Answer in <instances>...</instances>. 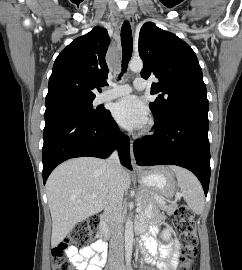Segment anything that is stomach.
Here are the masks:
<instances>
[{"label":"stomach","instance_id":"stomach-1","mask_svg":"<svg viewBox=\"0 0 242 270\" xmlns=\"http://www.w3.org/2000/svg\"><path fill=\"white\" fill-rule=\"evenodd\" d=\"M141 189L170 195L175 190L173 174L165 167H155L138 175Z\"/></svg>","mask_w":242,"mask_h":270}]
</instances>
